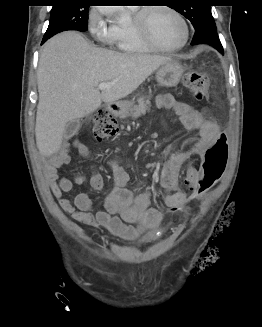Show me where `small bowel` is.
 Listing matches in <instances>:
<instances>
[{
    "label": "small bowel",
    "mask_w": 262,
    "mask_h": 327,
    "mask_svg": "<svg viewBox=\"0 0 262 327\" xmlns=\"http://www.w3.org/2000/svg\"><path fill=\"white\" fill-rule=\"evenodd\" d=\"M156 105L162 109H171L179 117L181 126L186 130L197 131L199 136L192 142L190 149L173 154L164 164L160 183L167 192L164 205L185 206L188 203V193L179 188V175L182 165L186 164L182 184L187 185V189L193 190L197 186L198 176L197 166L199 158L201 160L211 143L216 141L217 135H223L218 126L202 115L184 101L175 99L172 95L166 94L156 98ZM74 146L84 158H90L91 152L88 147L78 142H65L57 154L45 167V176L50 184L53 195L59 202L61 208L73 219L87 225H98L106 228L111 233L123 238L134 239L144 229L156 228L160 225L162 214L159 209L150 206V196L143 193L135 196L128 189L129 175L116 160L109 163L112 171L115 186L109 193L105 201V210L96 214L91 212L92 200L86 193H78L74 200L64 197L66 192L73 189L74 184H82L86 177L78 175L74 181L65 177H59V168L69 161L70 148ZM89 182L92 188L101 190L104 187V179L100 169L90 166Z\"/></svg>",
    "instance_id": "1"
}]
</instances>
